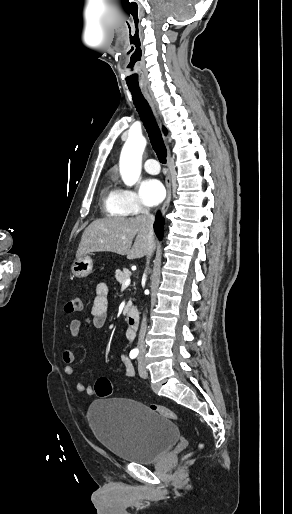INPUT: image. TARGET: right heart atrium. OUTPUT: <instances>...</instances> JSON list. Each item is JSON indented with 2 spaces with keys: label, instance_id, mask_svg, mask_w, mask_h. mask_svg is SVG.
Here are the masks:
<instances>
[{
  "label": "right heart atrium",
  "instance_id": "right-heart-atrium-1",
  "mask_svg": "<svg viewBox=\"0 0 292 514\" xmlns=\"http://www.w3.org/2000/svg\"><path fill=\"white\" fill-rule=\"evenodd\" d=\"M119 199L127 212L133 213L135 209L146 211V205L139 193L132 187L118 188Z\"/></svg>",
  "mask_w": 292,
  "mask_h": 514
}]
</instances>
